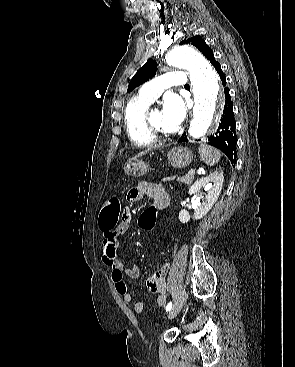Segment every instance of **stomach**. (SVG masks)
Returning <instances> with one entry per match:
<instances>
[{
    "label": "stomach",
    "instance_id": "1",
    "mask_svg": "<svg viewBox=\"0 0 295 367\" xmlns=\"http://www.w3.org/2000/svg\"><path fill=\"white\" fill-rule=\"evenodd\" d=\"M168 162L174 168H185L193 160V153L186 147H175L167 153ZM149 166L139 160L129 161L124 171L127 175L132 177H140L147 173Z\"/></svg>",
    "mask_w": 295,
    "mask_h": 367
}]
</instances>
